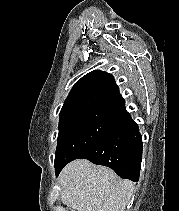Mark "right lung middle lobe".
I'll return each instance as SVG.
<instances>
[{
	"label": "right lung middle lobe",
	"instance_id": "1",
	"mask_svg": "<svg viewBox=\"0 0 179 211\" xmlns=\"http://www.w3.org/2000/svg\"><path fill=\"white\" fill-rule=\"evenodd\" d=\"M121 116L122 112L85 111L60 118L55 168L66 165L101 142Z\"/></svg>",
	"mask_w": 179,
	"mask_h": 211
}]
</instances>
